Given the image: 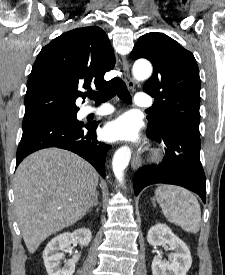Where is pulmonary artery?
Returning <instances> with one entry per match:
<instances>
[{"label": "pulmonary artery", "mask_w": 225, "mask_h": 275, "mask_svg": "<svg viewBox=\"0 0 225 275\" xmlns=\"http://www.w3.org/2000/svg\"><path fill=\"white\" fill-rule=\"evenodd\" d=\"M135 104L142 108H150L153 104V100L147 94L140 92L136 94ZM112 111H113V108L111 106H101L97 109H94L92 107H87L84 110V113L85 114L95 113L96 115H107V114H110Z\"/></svg>", "instance_id": "pulmonary-artery-1"}]
</instances>
